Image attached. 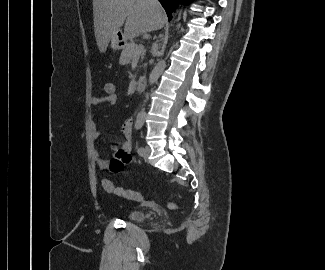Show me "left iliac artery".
Wrapping results in <instances>:
<instances>
[{
  "instance_id": "obj_1",
  "label": "left iliac artery",
  "mask_w": 325,
  "mask_h": 270,
  "mask_svg": "<svg viewBox=\"0 0 325 270\" xmlns=\"http://www.w3.org/2000/svg\"><path fill=\"white\" fill-rule=\"evenodd\" d=\"M142 125H143V122L138 121L136 123L135 127H136V129H140L142 127ZM143 150H144L143 147H139L138 150H137L138 154L141 155L143 153Z\"/></svg>"
}]
</instances>
